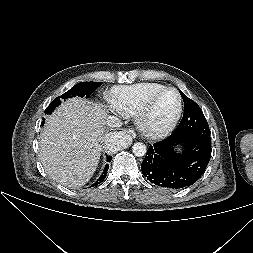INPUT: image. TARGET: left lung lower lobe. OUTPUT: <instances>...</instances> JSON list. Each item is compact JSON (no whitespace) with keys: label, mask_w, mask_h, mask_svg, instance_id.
<instances>
[{"label":"left lung lower lobe","mask_w":253,"mask_h":253,"mask_svg":"<svg viewBox=\"0 0 253 253\" xmlns=\"http://www.w3.org/2000/svg\"><path fill=\"white\" fill-rule=\"evenodd\" d=\"M182 146V153L175 148ZM211 157V143L194 137L168 138L151 145L141 164L142 173L155 185L180 189L194 184Z\"/></svg>","instance_id":"0a47b994"}]
</instances>
